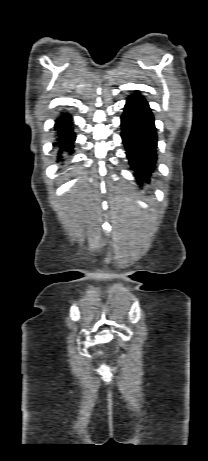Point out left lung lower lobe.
Here are the masks:
<instances>
[{"instance_id":"1","label":"left lung lower lobe","mask_w":208,"mask_h":461,"mask_svg":"<svg viewBox=\"0 0 208 461\" xmlns=\"http://www.w3.org/2000/svg\"><path fill=\"white\" fill-rule=\"evenodd\" d=\"M127 158L139 185L149 182L156 162L157 135L151 109L139 93L128 97L121 117Z\"/></svg>"}]
</instances>
